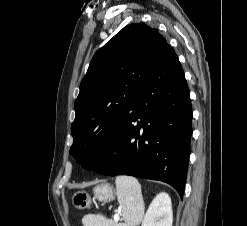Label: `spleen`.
<instances>
[{"label": "spleen", "instance_id": "spleen-1", "mask_svg": "<svg viewBox=\"0 0 247 226\" xmlns=\"http://www.w3.org/2000/svg\"><path fill=\"white\" fill-rule=\"evenodd\" d=\"M116 194L122 207L124 222L117 226H135L139 223L144 212V202L141 185L131 176L116 177ZM84 226H111L112 222L100 214H89L83 217Z\"/></svg>", "mask_w": 247, "mask_h": 226}]
</instances>
